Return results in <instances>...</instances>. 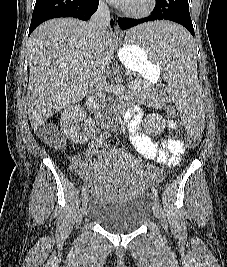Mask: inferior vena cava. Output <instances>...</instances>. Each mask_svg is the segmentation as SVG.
<instances>
[{
  "label": "inferior vena cava",
  "instance_id": "1",
  "mask_svg": "<svg viewBox=\"0 0 227 267\" xmlns=\"http://www.w3.org/2000/svg\"><path fill=\"white\" fill-rule=\"evenodd\" d=\"M110 22V10L108 5L100 1L97 11L92 15L88 23V32L99 44H104V37L107 33V28ZM91 87L95 94L100 98V101L106 102V94L108 92V83L105 75L104 62L97 67Z\"/></svg>",
  "mask_w": 227,
  "mask_h": 267
}]
</instances>
